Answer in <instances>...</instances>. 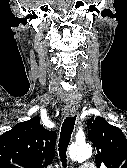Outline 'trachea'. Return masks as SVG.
Returning a JSON list of instances; mask_svg holds the SVG:
<instances>
[{"mask_svg":"<svg viewBox=\"0 0 127 168\" xmlns=\"http://www.w3.org/2000/svg\"><path fill=\"white\" fill-rule=\"evenodd\" d=\"M75 121L76 116L67 117L61 127L58 147L60 160L64 168L67 166L66 151L71 139L72 132L74 130Z\"/></svg>","mask_w":127,"mask_h":168,"instance_id":"obj_1","label":"trachea"}]
</instances>
